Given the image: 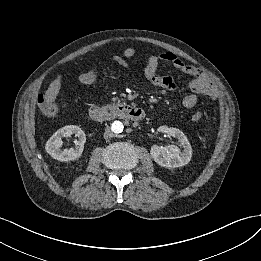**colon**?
<instances>
[{
	"instance_id": "obj_1",
	"label": "colon",
	"mask_w": 261,
	"mask_h": 261,
	"mask_svg": "<svg viewBox=\"0 0 261 261\" xmlns=\"http://www.w3.org/2000/svg\"><path fill=\"white\" fill-rule=\"evenodd\" d=\"M190 90L195 93H203L210 89L211 80L209 76L201 69H198L195 72V76L190 82ZM38 104L41 110L48 116H54L56 114V105L54 102L48 101L44 95L38 96ZM202 118V114L200 112H196L193 115L194 120H200Z\"/></svg>"
}]
</instances>
